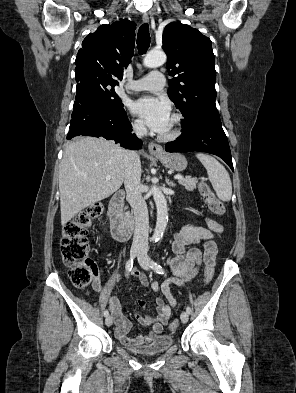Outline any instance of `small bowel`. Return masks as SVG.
<instances>
[{
    "label": "small bowel",
    "mask_w": 296,
    "mask_h": 393,
    "mask_svg": "<svg viewBox=\"0 0 296 393\" xmlns=\"http://www.w3.org/2000/svg\"><path fill=\"white\" fill-rule=\"evenodd\" d=\"M205 227L186 226L180 229L174 236L172 250L176 253L174 258L168 260V264L173 277L165 280L163 283L153 281L150 286L154 292H161L163 297L156 298V315L149 313L143 315L135 313L136 319L140 325L151 327V330L143 335L129 337L131 322L123 315L120 302L117 297L108 295L107 291L97 282L94 284V290L107 295L108 307L115 321V335L124 345L135 346L149 343L155 336L162 332L163 326L167 324L171 309L176 307L177 301L172 295L170 286L176 284L185 285L198 272L202 262L205 264L215 263L217 247L214 241L215 235L223 232V226L212 218H205ZM203 242V252L197 246ZM132 275L137 278L144 287L149 285V280L144 272L134 268ZM138 305L146 309L147 302L143 299L138 300Z\"/></svg>",
    "instance_id": "c3829d8e"
}]
</instances>
